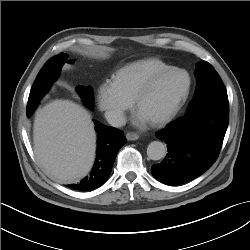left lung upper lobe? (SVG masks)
Returning a JSON list of instances; mask_svg holds the SVG:
<instances>
[{
    "label": "left lung upper lobe",
    "instance_id": "left-lung-upper-lobe-1",
    "mask_svg": "<svg viewBox=\"0 0 250 250\" xmlns=\"http://www.w3.org/2000/svg\"><path fill=\"white\" fill-rule=\"evenodd\" d=\"M196 91L193 101L208 91L224 87L223 82L215 69L206 61L196 64ZM191 102V103H192Z\"/></svg>",
    "mask_w": 250,
    "mask_h": 250
}]
</instances>
